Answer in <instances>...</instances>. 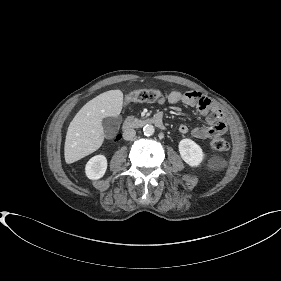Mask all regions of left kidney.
<instances>
[{"label": "left kidney", "instance_id": "left-kidney-1", "mask_svg": "<svg viewBox=\"0 0 281 281\" xmlns=\"http://www.w3.org/2000/svg\"><path fill=\"white\" fill-rule=\"evenodd\" d=\"M181 158L191 167H197L204 159L202 148L191 139H182L178 145Z\"/></svg>", "mask_w": 281, "mask_h": 281}]
</instances>
